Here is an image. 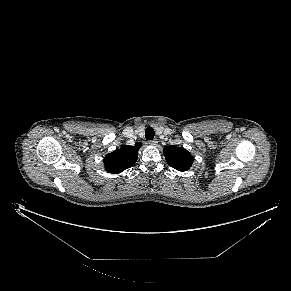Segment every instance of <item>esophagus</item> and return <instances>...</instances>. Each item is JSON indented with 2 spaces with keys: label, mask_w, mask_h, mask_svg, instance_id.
<instances>
[{
  "label": "esophagus",
  "mask_w": 291,
  "mask_h": 291,
  "mask_svg": "<svg viewBox=\"0 0 291 291\" xmlns=\"http://www.w3.org/2000/svg\"><path fill=\"white\" fill-rule=\"evenodd\" d=\"M148 143L150 145H152V146H156L158 144V140L157 139H153V140H150Z\"/></svg>",
  "instance_id": "34e87169"
}]
</instances>
